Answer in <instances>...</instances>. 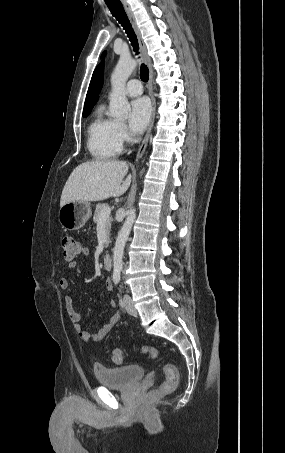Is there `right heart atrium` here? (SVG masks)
I'll list each match as a JSON object with an SVG mask.
<instances>
[{"label":"right heart atrium","mask_w":285,"mask_h":453,"mask_svg":"<svg viewBox=\"0 0 285 453\" xmlns=\"http://www.w3.org/2000/svg\"><path fill=\"white\" fill-rule=\"evenodd\" d=\"M118 137L121 144L128 142L129 136L123 124H118Z\"/></svg>","instance_id":"1"}]
</instances>
